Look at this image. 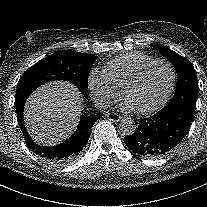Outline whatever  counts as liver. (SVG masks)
Here are the masks:
<instances>
[{
	"label": "liver",
	"mask_w": 207,
	"mask_h": 207,
	"mask_svg": "<svg viewBox=\"0 0 207 207\" xmlns=\"http://www.w3.org/2000/svg\"><path fill=\"white\" fill-rule=\"evenodd\" d=\"M81 108V95L73 85L60 81L46 84L26 103L27 130L38 143H60L76 128Z\"/></svg>",
	"instance_id": "liver-1"
}]
</instances>
